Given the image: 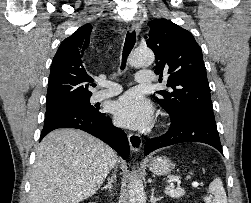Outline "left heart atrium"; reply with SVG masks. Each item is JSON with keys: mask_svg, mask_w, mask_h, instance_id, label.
<instances>
[{"mask_svg": "<svg viewBox=\"0 0 251 203\" xmlns=\"http://www.w3.org/2000/svg\"><path fill=\"white\" fill-rule=\"evenodd\" d=\"M114 113L119 125L140 129L151 122L153 110L139 92L130 91L115 102Z\"/></svg>", "mask_w": 251, "mask_h": 203, "instance_id": "left-heart-atrium-1", "label": "left heart atrium"}]
</instances>
